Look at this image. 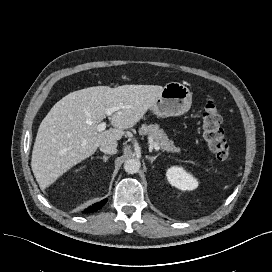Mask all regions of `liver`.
<instances>
[{
    "label": "liver",
    "instance_id": "liver-1",
    "mask_svg": "<svg viewBox=\"0 0 272 272\" xmlns=\"http://www.w3.org/2000/svg\"><path fill=\"white\" fill-rule=\"evenodd\" d=\"M158 85L89 87L59 100L42 120L31 167L41 189L54 183L104 143H117L135 126L162 93ZM119 106L109 119L114 128L99 132L105 109Z\"/></svg>",
    "mask_w": 272,
    "mask_h": 272
}]
</instances>
